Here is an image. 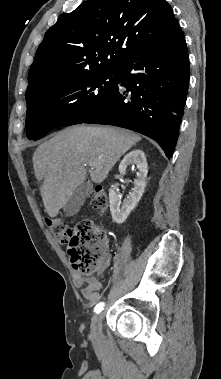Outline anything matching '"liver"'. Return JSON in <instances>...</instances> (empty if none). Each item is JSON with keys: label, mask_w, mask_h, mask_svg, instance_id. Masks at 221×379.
Here are the masks:
<instances>
[{"label": "liver", "mask_w": 221, "mask_h": 379, "mask_svg": "<svg viewBox=\"0 0 221 379\" xmlns=\"http://www.w3.org/2000/svg\"><path fill=\"white\" fill-rule=\"evenodd\" d=\"M141 137L114 127L76 126L66 128L40 144L33 154L35 176L46 212L59 214L87 174L99 184Z\"/></svg>", "instance_id": "6515ba94"}]
</instances>
